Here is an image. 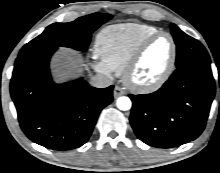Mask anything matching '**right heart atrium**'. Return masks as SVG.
Returning <instances> with one entry per match:
<instances>
[{"instance_id":"obj_1","label":"right heart atrium","mask_w":220,"mask_h":173,"mask_svg":"<svg viewBox=\"0 0 220 173\" xmlns=\"http://www.w3.org/2000/svg\"><path fill=\"white\" fill-rule=\"evenodd\" d=\"M93 68L97 71L100 72L102 74H105L107 76L111 75V70L105 66L102 62H95L93 64Z\"/></svg>"}]
</instances>
